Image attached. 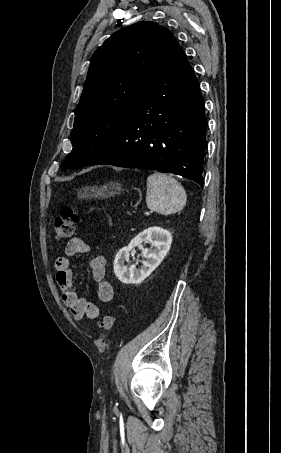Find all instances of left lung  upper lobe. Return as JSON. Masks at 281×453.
<instances>
[{"label":"left lung upper lobe","mask_w":281,"mask_h":453,"mask_svg":"<svg viewBox=\"0 0 281 453\" xmlns=\"http://www.w3.org/2000/svg\"><path fill=\"white\" fill-rule=\"evenodd\" d=\"M173 34L155 22L127 26L92 56L71 132L72 151L61 168L79 169L114 140L166 63Z\"/></svg>","instance_id":"1"}]
</instances>
